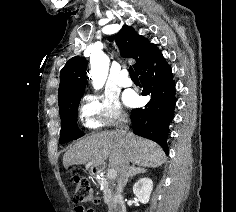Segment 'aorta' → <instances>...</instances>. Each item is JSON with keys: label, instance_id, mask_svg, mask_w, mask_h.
I'll return each instance as SVG.
<instances>
[{"label": "aorta", "instance_id": "762f6f07", "mask_svg": "<svg viewBox=\"0 0 236 212\" xmlns=\"http://www.w3.org/2000/svg\"><path fill=\"white\" fill-rule=\"evenodd\" d=\"M109 62V58L103 53L92 54L90 57V76L96 90L102 88L107 79Z\"/></svg>", "mask_w": 236, "mask_h": 212}]
</instances>
